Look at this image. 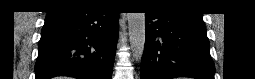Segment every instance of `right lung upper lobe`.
<instances>
[{"instance_id":"obj_1","label":"right lung upper lobe","mask_w":255,"mask_h":79,"mask_svg":"<svg viewBox=\"0 0 255 79\" xmlns=\"http://www.w3.org/2000/svg\"><path fill=\"white\" fill-rule=\"evenodd\" d=\"M91 1H85V0H60L55 2L56 4L52 7V10L64 8V7H71V6H90L85 5L86 3Z\"/></svg>"}]
</instances>
